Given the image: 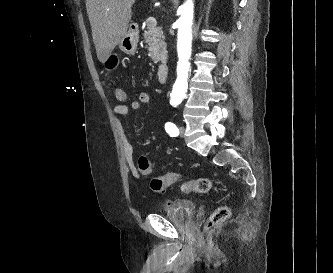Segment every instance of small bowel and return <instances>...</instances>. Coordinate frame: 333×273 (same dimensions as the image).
I'll return each instance as SVG.
<instances>
[{"label":"small bowel","instance_id":"c3829d8e","mask_svg":"<svg viewBox=\"0 0 333 273\" xmlns=\"http://www.w3.org/2000/svg\"><path fill=\"white\" fill-rule=\"evenodd\" d=\"M150 101H151V94L147 91H142L138 93L137 98L131 101L129 105L119 104L114 108V115L116 117V126L122 136L123 150L126 162L129 166L132 175L136 179H139L142 173L140 172L138 167V160H136L135 158L134 147L131 144L129 138L125 134L124 127L122 122L120 121V118L127 116L130 110L133 111L140 110L143 105L148 104Z\"/></svg>","mask_w":333,"mask_h":273}]
</instances>
